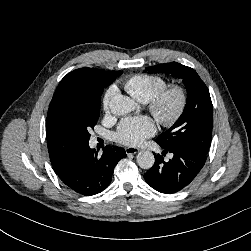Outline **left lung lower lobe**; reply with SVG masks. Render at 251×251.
<instances>
[{
	"instance_id": "0a47b994",
	"label": "left lung lower lobe",
	"mask_w": 251,
	"mask_h": 251,
	"mask_svg": "<svg viewBox=\"0 0 251 251\" xmlns=\"http://www.w3.org/2000/svg\"><path fill=\"white\" fill-rule=\"evenodd\" d=\"M162 154L172 153L168 162L155 155V163L145 174V181L161 193H176L187 187L203 168L207 154L192 146L164 148Z\"/></svg>"
}]
</instances>
